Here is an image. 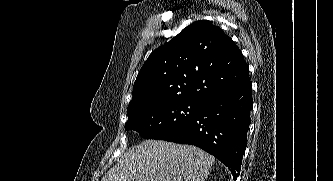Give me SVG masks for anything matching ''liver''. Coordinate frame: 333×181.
Masks as SVG:
<instances>
[{"mask_svg": "<svg viewBox=\"0 0 333 181\" xmlns=\"http://www.w3.org/2000/svg\"><path fill=\"white\" fill-rule=\"evenodd\" d=\"M214 162L196 146L146 140L129 149L101 181H205Z\"/></svg>", "mask_w": 333, "mask_h": 181, "instance_id": "1", "label": "liver"}]
</instances>
